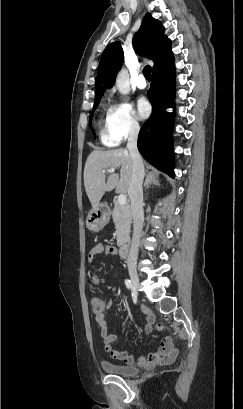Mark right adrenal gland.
<instances>
[{
	"label": "right adrenal gland",
	"mask_w": 243,
	"mask_h": 409,
	"mask_svg": "<svg viewBox=\"0 0 243 409\" xmlns=\"http://www.w3.org/2000/svg\"><path fill=\"white\" fill-rule=\"evenodd\" d=\"M151 185H160L158 178L152 173H148L144 182L145 190L148 189Z\"/></svg>",
	"instance_id": "right-adrenal-gland-1"
}]
</instances>
